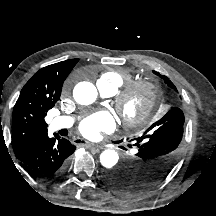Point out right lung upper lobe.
Here are the masks:
<instances>
[{
    "mask_svg": "<svg viewBox=\"0 0 216 216\" xmlns=\"http://www.w3.org/2000/svg\"><path fill=\"white\" fill-rule=\"evenodd\" d=\"M78 61L70 59L46 66L22 88L12 117V145L17 158L47 135L44 117L59 100L63 82Z\"/></svg>",
    "mask_w": 216,
    "mask_h": 216,
    "instance_id": "cb5924a9",
    "label": "right lung upper lobe"
}]
</instances>
